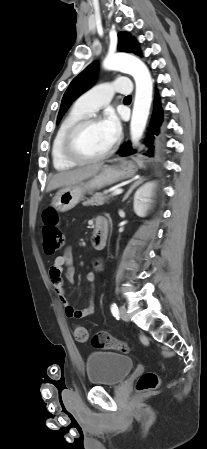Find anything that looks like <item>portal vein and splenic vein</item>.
I'll list each match as a JSON object with an SVG mask.
<instances>
[{
	"mask_svg": "<svg viewBox=\"0 0 207 449\" xmlns=\"http://www.w3.org/2000/svg\"><path fill=\"white\" fill-rule=\"evenodd\" d=\"M122 192H123L122 189H117V190H115V191L113 192L112 195H119V194H121Z\"/></svg>",
	"mask_w": 207,
	"mask_h": 449,
	"instance_id": "obj_1",
	"label": "portal vein and splenic vein"
}]
</instances>
